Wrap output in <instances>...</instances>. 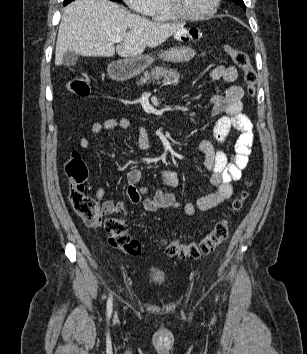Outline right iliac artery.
I'll return each mask as SVG.
<instances>
[{
	"mask_svg": "<svg viewBox=\"0 0 307 354\" xmlns=\"http://www.w3.org/2000/svg\"><path fill=\"white\" fill-rule=\"evenodd\" d=\"M112 313V296L110 295L108 302H107V317L110 318Z\"/></svg>",
	"mask_w": 307,
	"mask_h": 354,
	"instance_id": "1",
	"label": "right iliac artery"
}]
</instances>
